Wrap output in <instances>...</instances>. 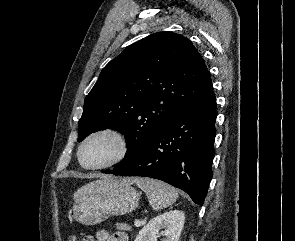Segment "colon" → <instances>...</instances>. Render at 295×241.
Wrapping results in <instances>:
<instances>
[{
    "label": "colon",
    "instance_id": "1",
    "mask_svg": "<svg viewBox=\"0 0 295 241\" xmlns=\"http://www.w3.org/2000/svg\"><path fill=\"white\" fill-rule=\"evenodd\" d=\"M68 241H76L75 238H70Z\"/></svg>",
    "mask_w": 295,
    "mask_h": 241
}]
</instances>
